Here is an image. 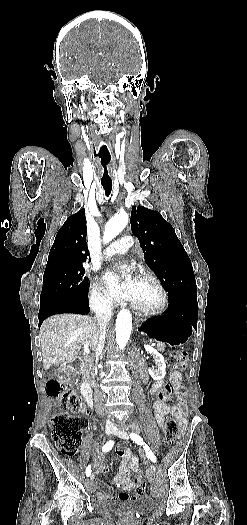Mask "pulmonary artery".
Here are the masks:
<instances>
[{
	"label": "pulmonary artery",
	"mask_w": 247,
	"mask_h": 525,
	"mask_svg": "<svg viewBox=\"0 0 247 525\" xmlns=\"http://www.w3.org/2000/svg\"><path fill=\"white\" fill-rule=\"evenodd\" d=\"M137 242V239L130 234H124L121 237H119L117 240L112 242L104 251L105 255L104 260L107 263L112 262L113 257H118L120 253L127 252L130 248L134 246V244Z\"/></svg>",
	"instance_id": "1"
}]
</instances>
